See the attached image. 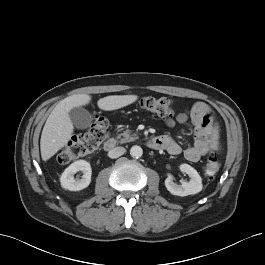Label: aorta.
Returning <instances> with one entry per match:
<instances>
[{"instance_id": "762f6f07", "label": "aorta", "mask_w": 265, "mask_h": 265, "mask_svg": "<svg viewBox=\"0 0 265 265\" xmlns=\"http://www.w3.org/2000/svg\"><path fill=\"white\" fill-rule=\"evenodd\" d=\"M143 154V150L140 146L138 145H134L131 147L130 149V155L134 158H139L141 157Z\"/></svg>"}]
</instances>
